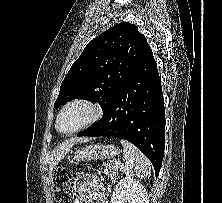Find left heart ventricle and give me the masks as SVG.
I'll list each match as a JSON object with an SVG mask.
<instances>
[{
	"label": "left heart ventricle",
	"mask_w": 222,
	"mask_h": 203,
	"mask_svg": "<svg viewBox=\"0 0 222 203\" xmlns=\"http://www.w3.org/2000/svg\"><path fill=\"white\" fill-rule=\"evenodd\" d=\"M91 116V111L85 106H73L68 108L59 120V128L62 131H71L84 122Z\"/></svg>",
	"instance_id": "obj_1"
}]
</instances>
